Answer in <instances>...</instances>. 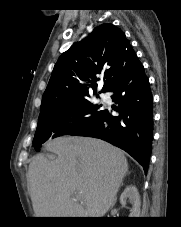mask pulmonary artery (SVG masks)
Returning a JSON list of instances; mask_svg holds the SVG:
<instances>
[{
	"label": "pulmonary artery",
	"instance_id": "obj_1",
	"mask_svg": "<svg viewBox=\"0 0 181 227\" xmlns=\"http://www.w3.org/2000/svg\"><path fill=\"white\" fill-rule=\"evenodd\" d=\"M102 100L104 101V102H108L109 101V99H110V97L108 96V95H106V94H102Z\"/></svg>",
	"mask_w": 181,
	"mask_h": 227
}]
</instances>
